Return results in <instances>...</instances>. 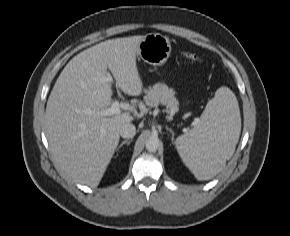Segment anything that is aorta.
<instances>
[{"instance_id":"obj_1","label":"aorta","mask_w":290,"mask_h":236,"mask_svg":"<svg viewBox=\"0 0 290 236\" xmlns=\"http://www.w3.org/2000/svg\"><path fill=\"white\" fill-rule=\"evenodd\" d=\"M160 141L156 137H150L145 142V147L149 152H155L158 150Z\"/></svg>"}]
</instances>
